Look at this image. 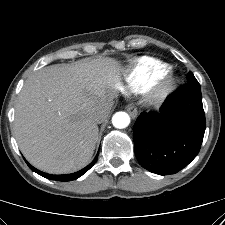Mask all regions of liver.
I'll list each match as a JSON object with an SVG mask.
<instances>
[{
	"label": "liver",
	"mask_w": 225,
	"mask_h": 225,
	"mask_svg": "<svg viewBox=\"0 0 225 225\" xmlns=\"http://www.w3.org/2000/svg\"><path fill=\"white\" fill-rule=\"evenodd\" d=\"M121 71L116 60L103 57L47 66L30 76L14 120L24 157L51 174L85 167L99 131L93 115L117 96Z\"/></svg>",
	"instance_id": "1"
}]
</instances>
